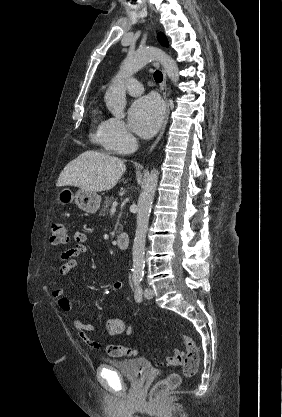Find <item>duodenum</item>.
<instances>
[{"label": "duodenum", "mask_w": 282, "mask_h": 417, "mask_svg": "<svg viewBox=\"0 0 282 417\" xmlns=\"http://www.w3.org/2000/svg\"><path fill=\"white\" fill-rule=\"evenodd\" d=\"M115 243H116L118 248L127 249L128 248V243H129V235L126 234V233L118 234L115 237Z\"/></svg>", "instance_id": "duodenum-1"}]
</instances>
